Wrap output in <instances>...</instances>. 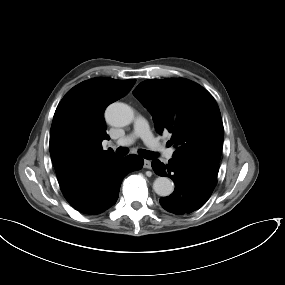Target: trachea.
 Instances as JSON below:
<instances>
[{
  "mask_svg": "<svg viewBox=\"0 0 285 285\" xmlns=\"http://www.w3.org/2000/svg\"><path fill=\"white\" fill-rule=\"evenodd\" d=\"M138 153L145 159H152L153 157H155L157 155V153H154V152L148 151V150H144V149L139 150ZM116 154L120 157L125 156L128 154V149L124 148V147H119L116 150Z\"/></svg>",
  "mask_w": 285,
  "mask_h": 285,
  "instance_id": "obj_1",
  "label": "trachea"
}]
</instances>
